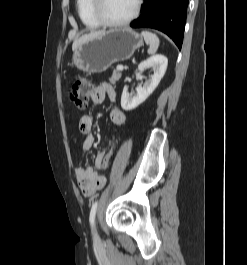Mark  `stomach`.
I'll return each mask as SVG.
<instances>
[{
	"mask_svg": "<svg viewBox=\"0 0 247 265\" xmlns=\"http://www.w3.org/2000/svg\"><path fill=\"white\" fill-rule=\"evenodd\" d=\"M142 45V37L132 29H110L79 44L73 50L72 65L83 72L101 73L129 59Z\"/></svg>",
	"mask_w": 247,
	"mask_h": 265,
	"instance_id": "obj_1",
	"label": "stomach"
}]
</instances>
